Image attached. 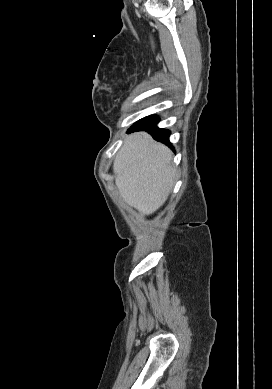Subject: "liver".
Returning <instances> with one entry per match:
<instances>
[{
    "mask_svg": "<svg viewBox=\"0 0 272 389\" xmlns=\"http://www.w3.org/2000/svg\"><path fill=\"white\" fill-rule=\"evenodd\" d=\"M172 153L145 132L126 137L113 164L122 199L143 215L159 209L174 185Z\"/></svg>",
    "mask_w": 272,
    "mask_h": 389,
    "instance_id": "1",
    "label": "liver"
}]
</instances>
